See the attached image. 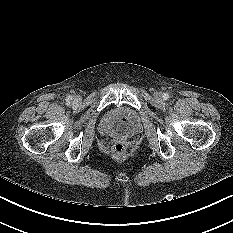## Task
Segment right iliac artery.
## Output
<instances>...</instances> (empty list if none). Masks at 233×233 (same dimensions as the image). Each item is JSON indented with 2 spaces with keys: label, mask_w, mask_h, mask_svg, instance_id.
I'll list each match as a JSON object with an SVG mask.
<instances>
[{
  "label": "right iliac artery",
  "mask_w": 233,
  "mask_h": 233,
  "mask_svg": "<svg viewBox=\"0 0 233 233\" xmlns=\"http://www.w3.org/2000/svg\"><path fill=\"white\" fill-rule=\"evenodd\" d=\"M66 100H67V101L71 100V97H70V96H68Z\"/></svg>",
  "instance_id": "obj_1"
}]
</instances>
